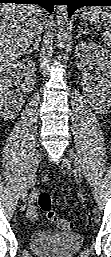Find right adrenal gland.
<instances>
[{
    "label": "right adrenal gland",
    "instance_id": "obj_1",
    "mask_svg": "<svg viewBox=\"0 0 111 257\" xmlns=\"http://www.w3.org/2000/svg\"><path fill=\"white\" fill-rule=\"evenodd\" d=\"M38 48H39V42L37 40H35V43L33 44V47L28 49L25 54L29 55L33 51H38L39 50Z\"/></svg>",
    "mask_w": 111,
    "mask_h": 257
}]
</instances>
